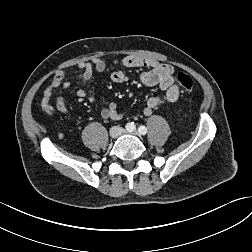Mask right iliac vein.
Masks as SVG:
<instances>
[{"label": "right iliac vein", "instance_id": "right-iliac-vein-1", "mask_svg": "<svg viewBox=\"0 0 252 252\" xmlns=\"http://www.w3.org/2000/svg\"><path fill=\"white\" fill-rule=\"evenodd\" d=\"M123 133V129L118 127V126H114L110 129L109 134L110 137L113 139H116L117 137H119L121 134Z\"/></svg>", "mask_w": 252, "mask_h": 252}]
</instances>
